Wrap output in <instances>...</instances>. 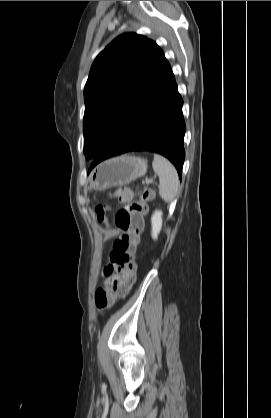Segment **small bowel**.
Returning <instances> with one entry per match:
<instances>
[{
	"label": "small bowel",
	"instance_id": "obj_1",
	"mask_svg": "<svg viewBox=\"0 0 271 418\" xmlns=\"http://www.w3.org/2000/svg\"><path fill=\"white\" fill-rule=\"evenodd\" d=\"M111 278L107 280L106 282V286H108L110 284Z\"/></svg>",
	"mask_w": 271,
	"mask_h": 418
}]
</instances>
